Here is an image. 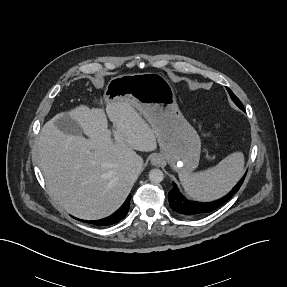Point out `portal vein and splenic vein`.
<instances>
[{
    "instance_id": "18ae733b",
    "label": "portal vein and splenic vein",
    "mask_w": 287,
    "mask_h": 287,
    "mask_svg": "<svg viewBox=\"0 0 287 287\" xmlns=\"http://www.w3.org/2000/svg\"><path fill=\"white\" fill-rule=\"evenodd\" d=\"M113 135L115 137L116 142H121L122 137L120 136V134L116 130H113Z\"/></svg>"
}]
</instances>
